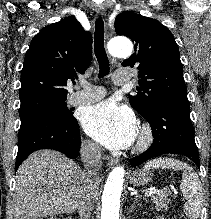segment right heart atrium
Listing matches in <instances>:
<instances>
[{"label":"right heart atrium","instance_id":"d8ad5b80","mask_svg":"<svg viewBox=\"0 0 211 219\" xmlns=\"http://www.w3.org/2000/svg\"><path fill=\"white\" fill-rule=\"evenodd\" d=\"M82 146H83V149L88 153L94 154L99 151L98 146L91 140H84Z\"/></svg>","mask_w":211,"mask_h":219}]
</instances>
